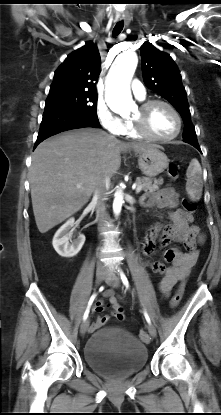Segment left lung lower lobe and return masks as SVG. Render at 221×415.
I'll return each mask as SVG.
<instances>
[{"label": "left lung lower lobe", "mask_w": 221, "mask_h": 415, "mask_svg": "<svg viewBox=\"0 0 221 415\" xmlns=\"http://www.w3.org/2000/svg\"><path fill=\"white\" fill-rule=\"evenodd\" d=\"M183 141L193 145L195 148H197L201 152L196 137H192V136L191 137H185V138H183Z\"/></svg>", "instance_id": "0a47b994"}]
</instances>
